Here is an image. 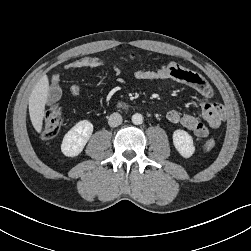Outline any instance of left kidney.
<instances>
[{
  "label": "left kidney",
  "mask_w": 251,
  "mask_h": 251,
  "mask_svg": "<svg viewBox=\"0 0 251 251\" xmlns=\"http://www.w3.org/2000/svg\"><path fill=\"white\" fill-rule=\"evenodd\" d=\"M173 144L184 158L191 157L195 152L193 138L184 130L178 129L173 132Z\"/></svg>",
  "instance_id": "obj_1"
}]
</instances>
